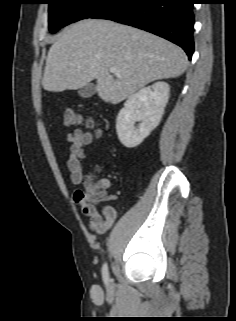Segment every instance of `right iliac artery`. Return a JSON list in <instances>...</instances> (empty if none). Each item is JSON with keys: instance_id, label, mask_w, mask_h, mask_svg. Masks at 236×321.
Here are the masks:
<instances>
[{"instance_id": "right-iliac-artery-1", "label": "right iliac artery", "mask_w": 236, "mask_h": 321, "mask_svg": "<svg viewBox=\"0 0 236 321\" xmlns=\"http://www.w3.org/2000/svg\"><path fill=\"white\" fill-rule=\"evenodd\" d=\"M102 276H103L104 283L106 285H108V283H109V272H108V266H107L106 263L103 265V268H102Z\"/></svg>"}]
</instances>
